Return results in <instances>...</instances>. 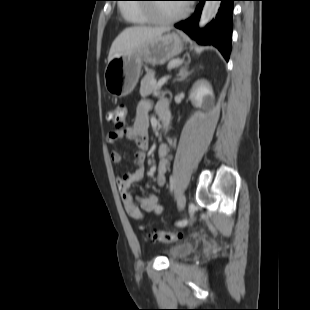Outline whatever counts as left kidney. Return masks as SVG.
I'll use <instances>...</instances> for the list:
<instances>
[{
    "mask_svg": "<svg viewBox=\"0 0 310 310\" xmlns=\"http://www.w3.org/2000/svg\"><path fill=\"white\" fill-rule=\"evenodd\" d=\"M212 97V89L206 81H198L190 93V99L195 106H200L204 101H208Z\"/></svg>",
    "mask_w": 310,
    "mask_h": 310,
    "instance_id": "obj_1",
    "label": "left kidney"
}]
</instances>
